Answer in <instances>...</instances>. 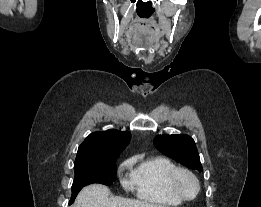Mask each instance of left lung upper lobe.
<instances>
[{"label":"left lung upper lobe","mask_w":261,"mask_h":207,"mask_svg":"<svg viewBox=\"0 0 261 207\" xmlns=\"http://www.w3.org/2000/svg\"><path fill=\"white\" fill-rule=\"evenodd\" d=\"M154 145L160 152L188 168L203 170L195 142L190 136L186 134L157 135L154 138Z\"/></svg>","instance_id":"5c2ea615"}]
</instances>
